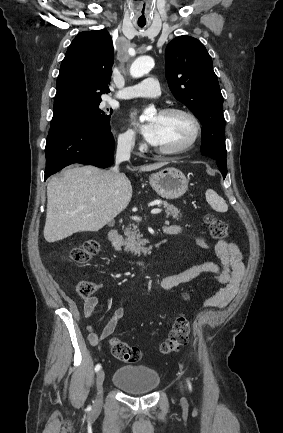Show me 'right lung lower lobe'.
I'll use <instances>...</instances> for the list:
<instances>
[{
    "mask_svg": "<svg viewBox=\"0 0 283 433\" xmlns=\"http://www.w3.org/2000/svg\"><path fill=\"white\" fill-rule=\"evenodd\" d=\"M114 138L96 124L68 123L50 126L46 141L45 180L73 163L106 168L113 163Z\"/></svg>",
    "mask_w": 283,
    "mask_h": 433,
    "instance_id": "obj_1",
    "label": "right lung lower lobe"
}]
</instances>
